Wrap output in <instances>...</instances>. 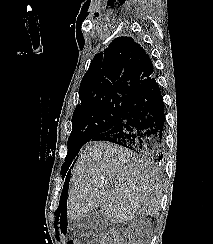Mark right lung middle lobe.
<instances>
[{
	"instance_id": "obj_1",
	"label": "right lung middle lobe",
	"mask_w": 213,
	"mask_h": 244,
	"mask_svg": "<svg viewBox=\"0 0 213 244\" xmlns=\"http://www.w3.org/2000/svg\"><path fill=\"white\" fill-rule=\"evenodd\" d=\"M132 98L129 95H108L76 108L72 117V132L68 140L69 152L61 168L62 178L68 172L81 147L94 137L113 128Z\"/></svg>"
}]
</instances>
